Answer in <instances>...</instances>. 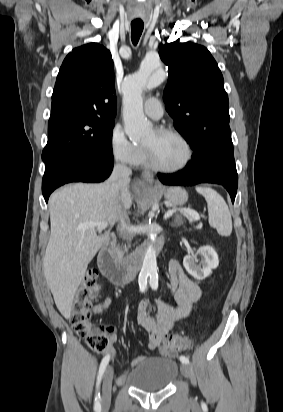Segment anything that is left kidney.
I'll use <instances>...</instances> for the list:
<instances>
[{
	"label": "left kidney",
	"instance_id": "5707ae66",
	"mask_svg": "<svg viewBox=\"0 0 283 412\" xmlns=\"http://www.w3.org/2000/svg\"><path fill=\"white\" fill-rule=\"evenodd\" d=\"M200 257V265H197ZM219 264L217 252L211 246L199 248L195 255H186L183 259V265L187 272L197 280H203L210 276L213 269Z\"/></svg>",
	"mask_w": 283,
	"mask_h": 412
}]
</instances>
